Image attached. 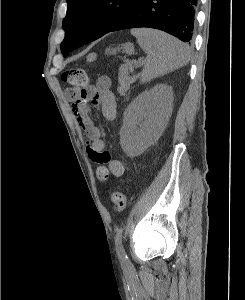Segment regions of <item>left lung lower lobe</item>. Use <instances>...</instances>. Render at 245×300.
<instances>
[{
	"label": "left lung lower lobe",
	"mask_w": 245,
	"mask_h": 300,
	"mask_svg": "<svg viewBox=\"0 0 245 300\" xmlns=\"http://www.w3.org/2000/svg\"><path fill=\"white\" fill-rule=\"evenodd\" d=\"M197 1L136 0L122 19L107 33L129 28L148 27L165 31L191 44ZM100 37L91 38L87 43Z\"/></svg>",
	"instance_id": "0a47b994"
}]
</instances>
